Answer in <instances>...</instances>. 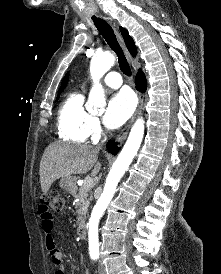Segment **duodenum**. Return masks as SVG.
Segmentation results:
<instances>
[{"mask_svg": "<svg viewBox=\"0 0 221 274\" xmlns=\"http://www.w3.org/2000/svg\"><path fill=\"white\" fill-rule=\"evenodd\" d=\"M87 225L85 223L81 224L78 230V237L81 241H85L87 238Z\"/></svg>", "mask_w": 221, "mask_h": 274, "instance_id": "1", "label": "duodenum"}]
</instances>
